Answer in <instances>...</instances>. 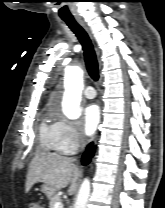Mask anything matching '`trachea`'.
<instances>
[{"label": "trachea", "instance_id": "1", "mask_svg": "<svg viewBox=\"0 0 165 208\" xmlns=\"http://www.w3.org/2000/svg\"><path fill=\"white\" fill-rule=\"evenodd\" d=\"M69 28L75 33L82 44L85 64L90 77L97 81L99 78V69L96 54L92 42L85 30L74 19H63Z\"/></svg>", "mask_w": 165, "mask_h": 208}]
</instances>
